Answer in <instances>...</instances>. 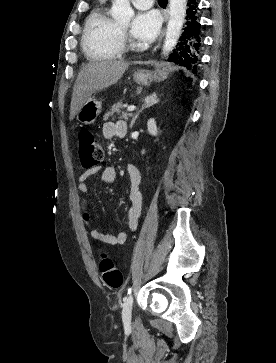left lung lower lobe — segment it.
I'll use <instances>...</instances> for the list:
<instances>
[{
  "label": "left lung lower lobe",
  "mask_w": 276,
  "mask_h": 363,
  "mask_svg": "<svg viewBox=\"0 0 276 363\" xmlns=\"http://www.w3.org/2000/svg\"><path fill=\"white\" fill-rule=\"evenodd\" d=\"M186 23L176 48L169 61L197 73L198 50L200 47V24L197 22V0H188Z\"/></svg>",
  "instance_id": "left-lung-lower-lobe-1"
}]
</instances>
